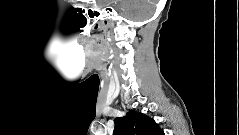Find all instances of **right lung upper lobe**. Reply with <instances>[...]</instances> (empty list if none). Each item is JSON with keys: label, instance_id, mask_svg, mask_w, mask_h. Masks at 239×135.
Masks as SVG:
<instances>
[{"label": "right lung upper lobe", "instance_id": "obj_1", "mask_svg": "<svg viewBox=\"0 0 239 135\" xmlns=\"http://www.w3.org/2000/svg\"><path fill=\"white\" fill-rule=\"evenodd\" d=\"M114 135H164L163 130L152 119L130 110L125 116L115 119Z\"/></svg>", "mask_w": 239, "mask_h": 135}]
</instances>
